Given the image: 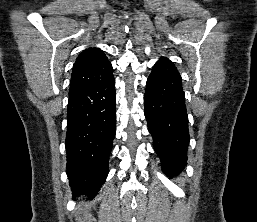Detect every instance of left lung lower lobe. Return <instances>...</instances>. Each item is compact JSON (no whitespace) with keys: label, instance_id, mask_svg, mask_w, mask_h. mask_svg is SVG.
<instances>
[{"label":"left lung lower lobe","instance_id":"0a47b994","mask_svg":"<svg viewBox=\"0 0 257 222\" xmlns=\"http://www.w3.org/2000/svg\"><path fill=\"white\" fill-rule=\"evenodd\" d=\"M144 102L148 130L162 169L170 177L176 176L187 164L190 136L181 76L168 59L162 58L153 66Z\"/></svg>","mask_w":257,"mask_h":222}]
</instances>
